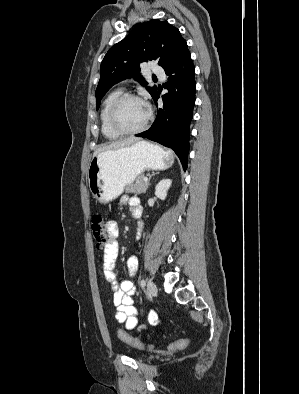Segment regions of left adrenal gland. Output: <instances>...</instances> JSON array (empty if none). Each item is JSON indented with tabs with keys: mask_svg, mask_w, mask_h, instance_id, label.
Returning <instances> with one entry per match:
<instances>
[{
	"mask_svg": "<svg viewBox=\"0 0 299 394\" xmlns=\"http://www.w3.org/2000/svg\"><path fill=\"white\" fill-rule=\"evenodd\" d=\"M159 172H157V173H152V175L149 177V181H148V186L150 185V179L154 176V175H156V174H158Z\"/></svg>",
	"mask_w": 299,
	"mask_h": 394,
	"instance_id": "1",
	"label": "left adrenal gland"
}]
</instances>
